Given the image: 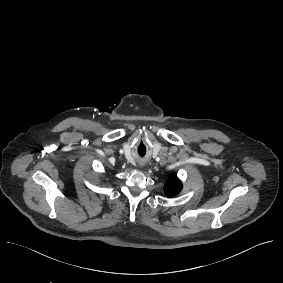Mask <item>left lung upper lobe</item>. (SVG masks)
<instances>
[{
    "mask_svg": "<svg viewBox=\"0 0 283 283\" xmlns=\"http://www.w3.org/2000/svg\"><path fill=\"white\" fill-rule=\"evenodd\" d=\"M181 189L182 184L175 175H171L164 186L165 194L168 197H173L177 195L181 191Z\"/></svg>",
    "mask_w": 283,
    "mask_h": 283,
    "instance_id": "5c2ea615",
    "label": "left lung upper lobe"
}]
</instances>
